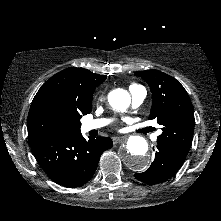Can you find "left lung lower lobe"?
<instances>
[{"label":"left lung lower lobe","mask_w":221,"mask_h":221,"mask_svg":"<svg viewBox=\"0 0 221 221\" xmlns=\"http://www.w3.org/2000/svg\"><path fill=\"white\" fill-rule=\"evenodd\" d=\"M155 158L151 166L144 173L135 174L134 177L147 184H158L172 177L182 166L162 147H153Z\"/></svg>","instance_id":"left-lung-lower-lobe-1"}]
</instances>
